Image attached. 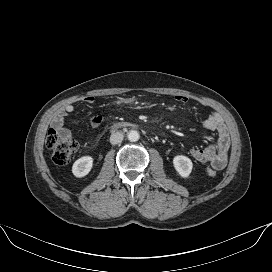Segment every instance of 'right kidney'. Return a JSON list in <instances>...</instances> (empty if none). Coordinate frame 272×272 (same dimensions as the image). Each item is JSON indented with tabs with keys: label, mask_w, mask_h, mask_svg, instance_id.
Instances as JSON below:
<instances>
[{
	"label": "right kidney",
	"mask_w": 272,
	"mask_h": 272,
	"mask_svg": "<svg viewBox=\"0 0 272 272\" xmlns=\"http://www.w3.org/2000/svg\"><path fill=\"white\" fill-rule=\"evenodd\" d=\"M92 166L93 158L91 156H83L74 162L72 173L75 177H84L91 171Z\"/></svg>",
	"instance_id": "ca27d5eb"
}]
</instances>
